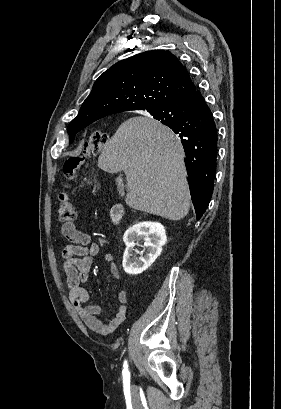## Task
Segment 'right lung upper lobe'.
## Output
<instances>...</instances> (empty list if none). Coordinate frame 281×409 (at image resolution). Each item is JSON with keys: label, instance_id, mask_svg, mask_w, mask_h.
I'll return each mask as SVG.
<instances>
[{"label": "right lung upper lobe", "instance_id": "1", "mask_svg": "<svg viewBox=\"0 0 281 409\" xmlns=\"http://www.w3.org/2000/svg\"><path fill=\"white\" fill-rule=\"evenodd\" d=\"M195 91L187 70L173 54L162 50L144 52L105 71L68 127L84 128L124 111L164 108Z\"/></svg>", "mask_w": 281, "mask_h": 409}]
</instances>
